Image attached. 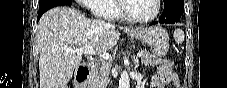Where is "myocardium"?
I'll return each mask as SVG.
<instances>
[{
	"label": "myocardium",
	"instance_id": "obj_1",
	"mask_svg": "<svg viewBox=\"0 0 227 88\" xmlns=\"http://www.w3.org/2000/svg\"><path fill=\"white\" fill-rule=\"evenodd\" d=\"M129 1H132V0H120L119 1V12L126 20H128L130 22L138 23V24L149 23V22H152L153 20H155L160 13V10H161L160 2L161 1L160 0H154L155 6H156V11L152 16L147 17V18L134 17V16H132L128 13L127 8H126V3L129 2Z\"/></svg>",
	"mask_w": 227,
	"mask_h": 88
}]
</instances>
